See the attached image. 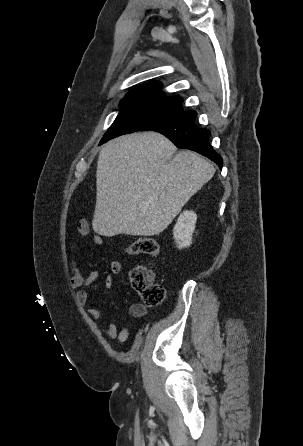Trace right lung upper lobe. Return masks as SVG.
<instances>
[{
  "mask_svg": "<svg viewBox=\"0 0 303 446\" xmlns=\"http://www.w3.org/2000/svg\"><path fill=\"white\" fill-rule=\"evenodd\" d=\"M161 87L162 84L160 82L143 84L129 92L126 97L121 100L120 106L161 110L174 99L173 97H166L164 93L160 91Z\"/></svg>",
  "mask_w": 303,
  "mask_h": 446,
  "instance_id": "right-lung-upper-lobe-1",
  "label": "right lung upper lobe"
}]
</instances>
